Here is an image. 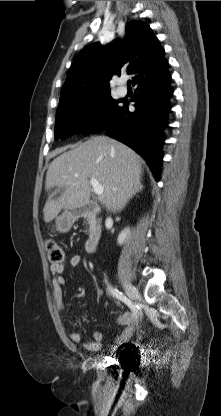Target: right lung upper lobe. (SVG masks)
I'll return each instance as SVG.
<instances>
[{
    "instance_id": "1",
    "label": "right lung upper lobe",
    "mask_w": 221,
    "mask_h": 416,
    "mask_svg": "<svg viewBox=\"0 0 221 416\" xmlns=\"http://www.w3.org/2000/svg\"><path fill=\"white\" fill-rule=\"evenodd\" d=\"M167 66L164 49L151 28L142 21H131L122 41L114 40L104 48L93 43L77 55L62 87L59 104L110 92L108 78L122 71L134 76V85Z\"/></svg>"
}]
</instances>
